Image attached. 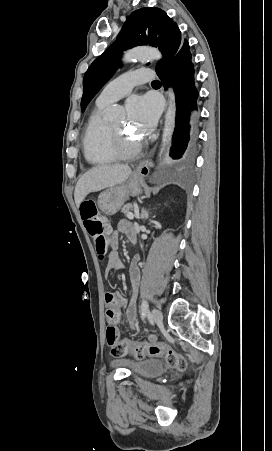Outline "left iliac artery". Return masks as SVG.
<instances>
[{
    "instance_id": "left-iliac-artery-1",
    "label": "left iliac artery",
    "mask_w": 272,
    "mask_h": 451,
    "mask_svg": "<svg viewBox=\"0 0 272 451\" xmlns=\"http://www.w3.org/2000/svg\"><path fill=\"white\" fill-rule=\"evenodd\" d=\"M149 313V305L146 300H144L141 304V317L144 319L146 315Z\"/></svg>"
}]
</instances>
